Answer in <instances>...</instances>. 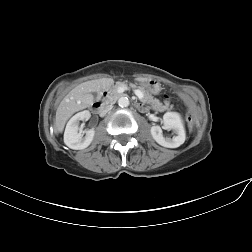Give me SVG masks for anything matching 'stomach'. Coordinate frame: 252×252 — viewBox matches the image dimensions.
Returning a JSON list of instances; mask_svg holds the SVG:
<instances>
[{"instance_id":"obj_1","label":"stomach","mask_w":252,"mask_h":252,"mask_svg":"<svg viewBox=\"0 0 252 252\" xmlns=\"http://www.w3.org/2000/svg\"><path fill=\"white\" fill-rule=\"evenodd\" d=\"M143 88L149 94H158L161 91V84L154 79H149L142 83Z\"/></svg>"}]
</instances>
